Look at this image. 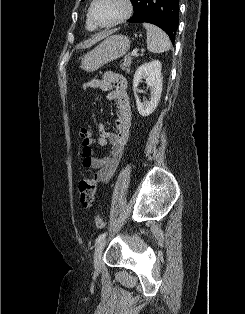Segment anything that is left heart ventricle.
Instances as JSON below:
<instances>
[{"mask_svg": "<svg viewBox=\"0 0 245 314\" xmlns=\"http://www.w3.org/2000/svg\"><path fill=\"white\" fill-rule=\"evenodd\" d=\"M123 11L121 0H97L93 8L94 19L101 24L115 20Z\"/></svg>", "mask_w": 245, "mask_h": 314, "instance_id": "b2bd125f", "label": "left heart ventricle"}]
</instances>
